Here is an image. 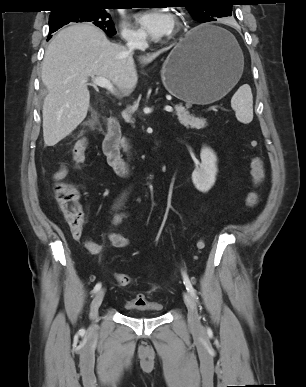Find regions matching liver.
Masks as SVG:
<instances>
[{
  "mask_svg": "<svg viewBox=\"0 0 306 387\" xmlns=\"http://www.w3.org/2000/svg\"><path fill=\"white\" fill-rule=\"evenodd\" d=\"M164 51L140 61L150 63ZM89 77L106 78L121 92H131L138 81L132 51L111 43L92 24H74L51 40L42 62L41 78L48 90L42 110L45 145H56L86 118Z\"/></svg>",
  "mask_w": 306,
  "mask_h": 387,
  "instance_id": "liver-1",
  "label": "liver"
}]
</instances>
